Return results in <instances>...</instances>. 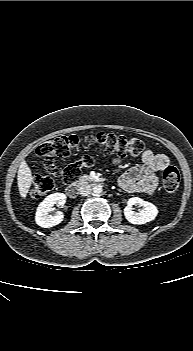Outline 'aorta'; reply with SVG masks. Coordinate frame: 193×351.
Instances as JSON below:
<instances>
[{"label":"aorta","instance_id":"obj_1","mask_svg":"<svg viewBox=\"0 0 193 351\" xmlns=\"http://www.w3.org/2000/svg\"><path fill=\"white\" fill-rule=\"evenodd\" d=\"M102 191H103V189H102V186H101V185H95V186L93 187V192H94L95 194H100Z\"/></svg>","mask_w":193,"mask_h":351}]
</instances>
